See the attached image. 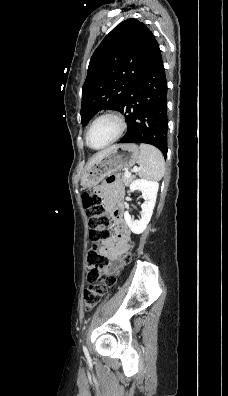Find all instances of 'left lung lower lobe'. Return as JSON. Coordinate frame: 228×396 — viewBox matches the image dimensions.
Instances as JSON below:
<instances>
[{"label": "left lung lower lobe", "instance_id": "obj_1", "mask_svg": "<svg viewBox=\"0 0 228 396\" xmlns=\"http://www.w3.org/2000/svg\"><path fill=\"white\" fill-rule=\"evenodd\" d=\"M119 111L129 124L119 143L152 144L167 156V80L157 41Z\"/></svg>", "mask_w": 228, "mask_h": 396}]
</instances>
